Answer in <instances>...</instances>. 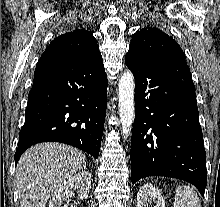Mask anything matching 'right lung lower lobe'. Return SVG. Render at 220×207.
Returning <instances> with one entry per match:
<instances>
[{
	"mask_svg": "<svg viewBox=\"0 0 220 207\" xmlns=\"http://www.w3.org/2000/svg\"><path fill=\"white\" fill-rule=\"evenodd\" d=\"M107 85L100 52L72 64L36 66L15 163L27 148L48 141L72 145L98 158Z\"/></svg>",
	"mask_w": 220,
	"mask_h": 207,
	"instance_id": "right-lung-lower-lobe-1",
	"label": "right lung lower lobe"
}]
</instances>
